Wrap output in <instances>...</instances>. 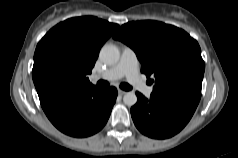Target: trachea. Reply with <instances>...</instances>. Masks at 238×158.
I'll list each match as a JSON object with an SVG mask.
<instances>
[{"label": "trachea", "instance_id": "trachea-1", "mask_svg": "<svg viewBox=\"0 0 238 158\" xmlns=\"http://www.w3.org/2000/svg\"><path fill=\"white\" fill-rule=\"evenodd\" d=\"M97 85L100 86V87H108L109 83L107 81L100 80L97 83ZM120 88L125 90V91H129V90L132 89V87L128 83H121L120 84Z\"/></svg>", "mask_w": 238, "mask_h": 158}]
</instances>
